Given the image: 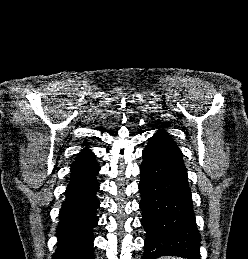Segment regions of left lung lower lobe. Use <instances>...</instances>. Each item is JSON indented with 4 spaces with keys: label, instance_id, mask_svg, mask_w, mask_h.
Here are the masks:
<instances>
[{
    "label": "left lung lower lobe",
    "instance_id": "0a47b994",
    "mask_svg": "<svg viewBox=\"0 0 248 259\" xmlns=\"http://www.w3.org/2000/svg\"><path fill=\"white\" fill-rule=\"evenodd\" d=\"M142 157L139 205L147 232L143 259L166 255L200 259V234L182 153L150 140Z\"/></svg>",
    "mask_w": 248,
    "mask_h": 259
}]
</instances>
